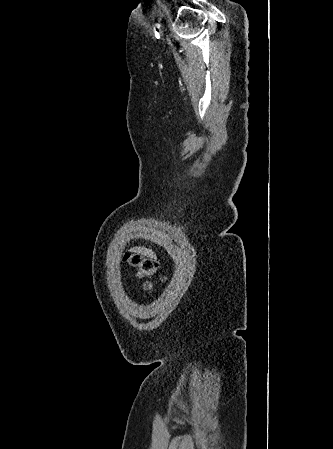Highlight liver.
I'll return each instance as SVG.
<instances>
[{
  "instance_id": "obj_1",
  "label": "liver",
  "mask_w": 333,
  "mask_h": 449,
  "mask_svg": "<svg viewBox=\"0 0 333 449\" xmlns=\"http://www.w3.org/2000/svg\"><path fill=\"white\" fill-rule=\"evenodd\" d=\"M133 250L145 256H152L153 254L151 250H147L146 248H134Z\"/></svg>"
}]
</instances>
